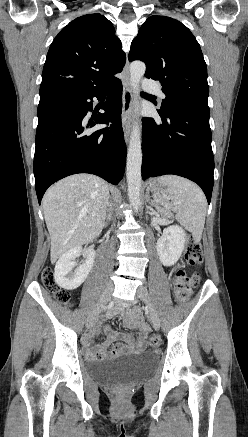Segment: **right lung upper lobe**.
<instances>
[{"label":"right lung upper lobe","instance_id":"cb5924a9","mask_svg":"<svg viewBox=\"0 0 248 437\" xmlns=\"http://www.w3.org/2000/svg\"><path fill=\"white\" fill-rule=\"evenodd\" d=\"M112 23L88 14L65 26L53 40L43 68L40 95L91 91L110 84L126 55Z\"/></svg>","mask_w":248,"mask_h":437}]
</instances>
